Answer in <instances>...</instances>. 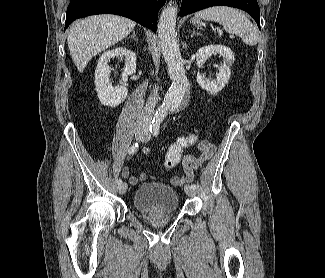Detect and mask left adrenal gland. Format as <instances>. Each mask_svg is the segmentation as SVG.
<instances>
[{"label":"left adrenal gland","mask_w":325,"mask_h":278,"mask_svg":"<svg viewBox=\"0 0 325 278\" xmlns=\"http://www.w3.org/2000/svg\"><path fill=\"white\" fill-rule=\"evenodd\" d=\"M196 35H201L200 33L196 32L195 29L193 28V32L191 34V37H194Z\"/></svg>","instance_id":"a2214340"}]
</instances>
